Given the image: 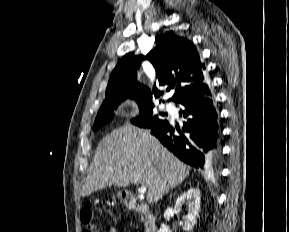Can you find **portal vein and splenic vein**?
<instances>
[{"label":"portal vein and splenic vein","instance_id":"obj_1","mask_svg":"<svg viewBox=\"0 0 289 232\" xmlns=\"http://www.w3.org/2000/svg\"><path fill=\"white\" fill-rule=\"evenodd\" d=\"M147 191V188L145 186H141L138 188V192L140 195H143Z\"/></svg>","mask_w":289,"mask_h":232}]
</instances>
